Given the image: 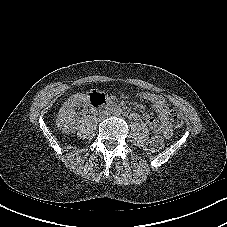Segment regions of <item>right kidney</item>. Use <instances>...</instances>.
<instances>
[{
	"label": "right kidney",
	"instance_id": "ca27d5eb",
	"mask_svg": "<svg viewBox=\"0 0 227 227\" xmlns=\"http://www.w3.org/2000/svg\"><path fill=\"white\" fill-rule=\"evenodd\" d=\"M84 98V95L82 94H76L70 97L61 107L59 114H58V126H60L63 130L72 128H75L76 120L74 117L75 109L79 103V101H82Z\"/></svg>",
	"mask_w": 227,
	"mask_h": 227
}]
</instances>
